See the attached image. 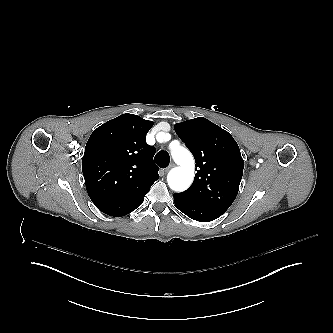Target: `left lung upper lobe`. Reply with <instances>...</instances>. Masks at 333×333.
Instances as JSON below:
<instances>
[{
    "instance_id": "5c2ea615",
    "label": "left lung upper lobe",
    "mask_w": 333,
    "mask_h": 333,
    "mask_svg": "<svg viewBox=\"0 0 333 333\" xmlns=\"http://www.w3.org/2000/svg\"><path fill=\"white\" fill-rule=\"evenodd\" d=\"M174 127L192 152L197 171L190 188L176 194L204 207L227 210L237 196L244 168L236 141L229 132L203 117Z\"/></svg>"
}]
</instances>
